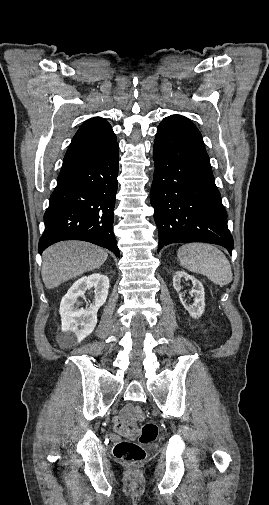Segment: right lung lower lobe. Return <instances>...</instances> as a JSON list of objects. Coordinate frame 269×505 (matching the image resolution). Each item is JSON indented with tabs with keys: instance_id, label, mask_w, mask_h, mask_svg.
Segmentation results:
<instances>
[{
	"instance_id": "right-lung-lower-lobe-1",
	"label": "right lung lower lobe",
	"mask_w": 269,
	"mask_h": 505,
	"mask_svg": "<svg viewBox=\"0 0 269 505\" xmlns=\"http://www.w3.org/2000/svg\"><path fill=\"white\" fill-rule=\"evenodd\" d=\"M118 143L92 157L62 165L44 214L38 250L62 240H83L119 257L112 231L118 187Z\"/></svg>"
}]
</instances>
